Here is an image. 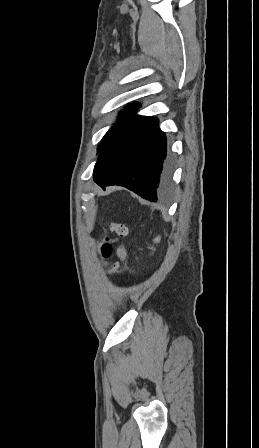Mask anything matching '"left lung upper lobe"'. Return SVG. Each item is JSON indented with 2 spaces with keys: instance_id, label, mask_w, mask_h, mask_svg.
<instances>
[{
  "instance_id": "5c2ea615",
  "label": "left lung upper lobe",
  "mask_w": 259,
  "mask_h": 448,
  "mask_svg": "<svg viewBox=\"0 0 259 448\" xmlns=\"http://www.w3.org/2000/svg\"><path fill=\"white\" fill-rule=\"evenodd\" d=\"M137 106H140L139 103L135 102L134 104H129L127 106V111L134 112L137 110ZM127 111H122V115L119 117V120L116 122V124L109 129V131L104 135V137L101 140V144L97 147V152L100 151V149L103 147L105 143L109 141V139L117 132L119 131L124 124L128 121V119L131 117V115Z\"/></svg>"
}]
</instances>
